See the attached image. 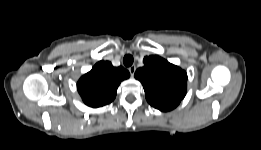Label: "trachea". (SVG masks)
<instances>
[{
  "instance_id": "1",
  "label": "trachea",
  "mask_w": 261,
  "mask_h": 150,
  "mask_svg": "<svg viewBox=\"0 0 261 150\" xmlns=\"http://www.w3.org/2000/svg\"><path fill=\"white\" fill-rule=\"evenodd\" d=\"M123 63L125 66L129 67L133 64V56L132 55H125L123 58Z\"/></svg>"
}]
</instances>
